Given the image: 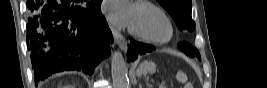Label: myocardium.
Wrapping results in <instances>:
<instances>
[{
    "instance_id": "myocardium-1",
    "label": "myocardium",
    "mask_w": 267,
    "mask_h": 88,
    "mask_svg": "<svg viewBox=\"0 0 267 88\" xmlns=\"http://www.w3.org/2000/svg\"><path fill=\"white\" fill-rule=\"evenodd\" d=\"M134 8L149 9V10L153 11L154 13H156L158 16H160L166 22V24L168 26V35L164 38H153V37L147 36V35L139 32L138 30H136L135 28L130 26L128 30L133 36H135V37H137V38H139L145 42H148L151 44H157V45L166 44L173 39L174 33H175L173 24H172L171 20L169 19V17L161 9H159L155 5H153L149 2H145V1L136 2L134 4Z\"/></svg>"
}]
</instances>
